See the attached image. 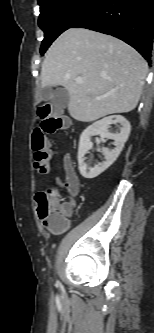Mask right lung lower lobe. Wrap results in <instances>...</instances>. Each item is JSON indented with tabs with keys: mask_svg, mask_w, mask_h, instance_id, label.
Wrapping results in <instances>:
<instances>
[{
	"mask_svg": "<svg viewBox=\"0 0 154 333\" xmlns=\"http://www.w3.org/2000/svg\"><path fill=\"white\" fill-rule=\"evenodd\" d=\"M115 36L134 47L150 64L154 38V0H100L71 28Z\"/></svg>",
	"mask_w": 154,
	"mask_h": 333,
	"instance_id": "obj_1",
	"label": "right lung lower lobe"
}]
</instances>
